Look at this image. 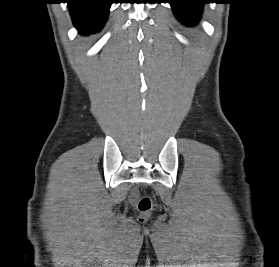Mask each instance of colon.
<instances>
[{"label": "colon", "instance_id": "colon-1", "mask_svg": "<svg viewBox=\"0 0 279 267\" xmlns=\"http://www.w3.org/2000/svg\"><path fill=\"white\" fill-rule=\"evenodd\" d=\"M138 210L142 218L147 217L153 210V202L149 196H143L139 199L137 204Z\"/></svg>", "mask_w": 279, "mask_h": 267}]
</instances>
